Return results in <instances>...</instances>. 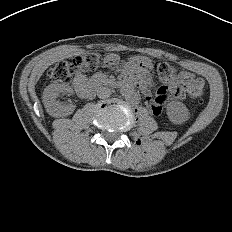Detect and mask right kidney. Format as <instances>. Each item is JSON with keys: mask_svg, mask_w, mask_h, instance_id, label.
Returning a JSON list of instances; mask_svg holds the SVG:
<instances>
[{"mask_svg": "<svg viewBox=\"0 0 232 232\" xmlns=\"http://www.w3.org/2000/svg\"><path fill=\"white\" fill-rule=\"evenodd\" d=\"M61 93L72 95L73 89L65 84H50L44 89L42 102L47 113L52 117H66L75 110L72 103L62 105L57 101Z\"/></svg>", "mask_w": 232, "mask_h": 232, "instance_id": "ca27d5eb", "label": "right kidney"}]
</instances>
